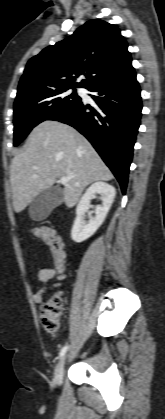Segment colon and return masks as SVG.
Wrapping results in <instances>:
<instances>
[{
	"mask_svg": "<svg viewBox=\"0 0 165 419\" xmlns=\"http://www.w3.org/2000/svg\"><path fill=\"white\" fill-rule=\"evenodd\" d=\"M34 234H40L48 244L56 271L60 278L65 276V251L60 236L51 229L38 228ZM64 312V302L60 294L50 296L39 309L42 327L47 333L56 334L60 330V322Z\"/></svg>",
	"mask_w": 165,
	"mask_h": 419,
	"instance_id": "colon-1",
	"label": "colon"
}]
</instances>
